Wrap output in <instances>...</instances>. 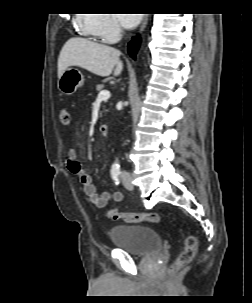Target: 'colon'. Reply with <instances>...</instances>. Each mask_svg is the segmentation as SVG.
I'll use <instances>...</instances> for the list:
<instances>
[{
    "label": "colon",
    "mask_w": 252,
    "mask_h": 303,
    "mask_svg": "<svg viewBox=\"0 0 252 303\" xmlns=\"http://www.w3.org/2000/svg\"><path fill=\"white\" fill-rule=\"evenodd\" d=\"M59 121L62 125H69L71 122L70 114L67 109H61L59 112ZM108 218L111 220H124L128 223H158L160 216L156 213H141V212H123L117 209H111L108 212ZM197 252V242L193 237L185 240L182 250L177 255L174 263L170 268L171 273H175L183 266L189 264Z\"/></svg>",
    "instance_id": "obj_1"
}]
</instances>
